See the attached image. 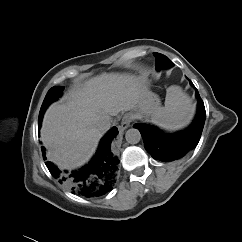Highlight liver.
I'll return each mask as SVG.
<instances>
[{"mask_svg":"<svg viewBox=\"0 0 242 242\" xmlns=\"http://www.w3.org/2000/svg\"><path fill=\"white\" fill-rule=\"evenodd\" d=\"M145 96L140 81L132 76L104 74L77 85L47 111L43 140L58 161L79 165L91 156L102 135L97 120L127 111L137 118L149 116Z\"/></svg>","mask_w":242,"mask_h":242,"instance_id":"obj_1","label":"liver"}]
</instances>
